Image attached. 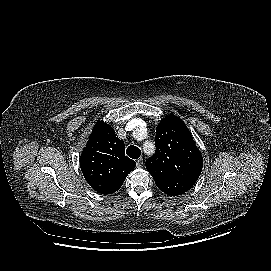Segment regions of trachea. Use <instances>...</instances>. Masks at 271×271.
<instances>
[{
	"label": "trachea",
	"mask_w": 271,
	"mask_h": 271,
	"mask_svg": "<svg viewBox=\"0 0 271 271\" xmlns=\"http://www.w3.org/2000/svg\"><path fill=\"white\" fill-rule=\"evenodd\" d=\"M126 152L127 155L132 159H138L141 155V150L136 146H129Z\"/></svg>",
	"instance_id": "obj_1"
}]
</instances>
